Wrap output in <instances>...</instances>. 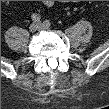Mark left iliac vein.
<instances>
[{
    "instance_id": "1",
    "label": "left iliac vein",
    "mask_w": 109,
    "mask_h": 109,
    "mask_svg": "<svg viewBox=\"0 0 109 109\" xmlns=\"http://www.w3.org/2000/svg\"><path fill=\"white\" fill-rule=\"evenodd\" d=\"M39 26H40L41 28H44V29L48 28V27L45 25V23H40Z\"/></svg>"
}]
</instances>
